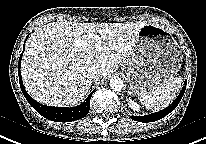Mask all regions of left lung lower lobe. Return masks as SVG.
Wrapping results in <instances>:
<instances>
[{"label": "left lung lower lobe", "instance_id": "0a47b994", "mask_svg": "<svg viewBox=\"0 0 206 144\" xmlns=\"http://www.w3.org/2000/svg\"><path fill=\"white\" fill-rule=\"evenodd\" d=\"M187 84V81L185 82V86ZM185 86L183 87V89L181 90L179 96L177 97V99L171 104L169 105L167 108L159 111V112H155L149 115H145V116H131V118L133 120L139 121V122H154L157 121L163 117H165L166 115H168L172 110H174L177 105L179 104L180 100L183 97V94L185 92Z\"/></svg>", "mask_w": 206, "mask_h": 144}]
</instances>
